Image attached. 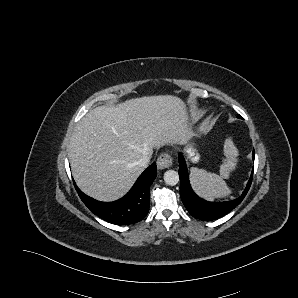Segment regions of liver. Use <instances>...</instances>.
I'll list each match as a JSON object with an SVG mask.
<instances>
[{"label":"liver","mask_w":298,"mask_h":298,"mask_svg":"<svg viewBox=\"0 0 298 298\" xmlns=\"http://www.w3.org/2000/svg\"><path fill=\"white\" fill-rule=\"evenodd\" d=\"M184 101L175 95L132 98L98 106L77 124L69 159L78 187L100 201L123 196L144 168L138 161L153 149L187 144L192 136Z\"/></svg>","instance_id":"liver-1"}]
</instances>
